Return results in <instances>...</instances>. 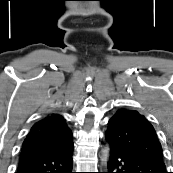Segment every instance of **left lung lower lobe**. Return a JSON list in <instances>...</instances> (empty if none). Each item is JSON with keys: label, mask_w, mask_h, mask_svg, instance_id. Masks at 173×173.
Masks as SVG:
<instances>
[{"label": "left lung lower lobe", "mask_w": 173, "mask_h": 173, "mask_svg": "<svg viewBox=\"0 0 173 173\" xmlns=\"http://www.w3.org/2000/svg\"><path fill=\"white\" fill-rule=\"evenodd\" d=\"M107 173H167L164 163L110 147Z\"/></svg>", "instance_id": "1"}]
</instances>
